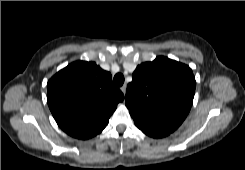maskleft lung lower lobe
I'll return each instance as SVG.
<instances>
[{
	"mask_svg": "<svg viewBox=\"0 0 245 170\" xmlns=\"http://www.w3.org/2000/svg\"><path fill=\"white\" fill-rule=\"evenodd\" d=\"M137 127L142 132H144L146 135L154 137V138H161V137H165V136L170 134V133H167V132L151 129V128H148V127H141V126H137Z\"/></svg>",
	"mask_w": 245,
	"mask_h": 170,
	"instance_id": "left-lung-lower-lobe-1",
	"label": "left lung lower lobe"
}]
</instances>
